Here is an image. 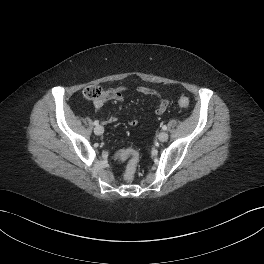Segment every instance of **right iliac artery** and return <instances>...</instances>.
I'll use <instances>...</instances> for the list:
<instances>
[{"mask_svg": "<svg viewBox=\"0 0 264 264\" xmlns=\"http://www.w3.org/2000/svg\"><path fill=\"white\" fill-rule=\"evenodd\" d=\"M94 125L98 126L99 122L97 120L94 121Z\"/></svg>", "mask_w": 264, "mask_h": 264, "instance_id": "82829eb1", "label": "right iliac artery"}]
</instances>
